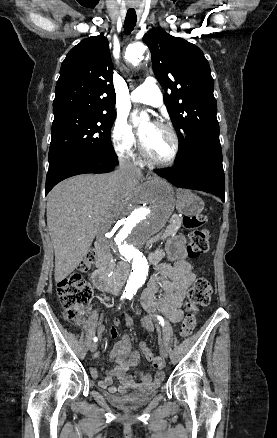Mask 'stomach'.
Wrapping results in <instances>:
<instances>
[{"mask_svg": "<svg viewBox=\"0 0 277 438\" xmlns=\"http://www.w3.org/2000/svg\"><path fill=\"white\" fill-rule=\"evenodd\" d=\"M176 208L180 213L186 216H196L204 209V202L188 190H179ZM167 249L168 258L170 260L178 259L184 249V241L182 237H174L170 239Z\"/></svg>", "mask_w": 277, "mask_h": 438, "instance_id": "obj_1", "label": "stomach"}]
</instances>
